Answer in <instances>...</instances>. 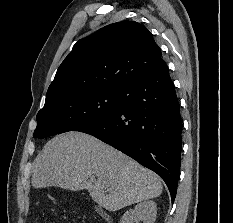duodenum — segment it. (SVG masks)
<instances>
[{
    "instance_id": "1",
    "label": "duodenum",
    "mask_w": 233,
    "mask_h": 223,
    "mask_svg": "<svg viewBox=\"0 0 233 223\" xmlns=\"http://www.w3.org/2000/svg\"><path fill=\"white\" fill-rule=\"evenodd\" d=\"M96 211L98 212V214H100L104 219L108 220L111 222L110 216L105 213L101 208L96 207Z\"/></svg>"
}]
</instances>
